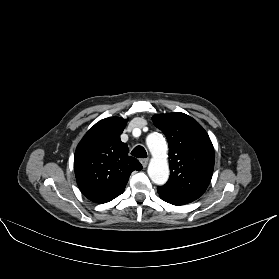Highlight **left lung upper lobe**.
<instances>
[{
  "label": "left lung upper lobe",
  "instance_id": "obj_1",
  "mask_svg": "<svg viewBox=\"0 0 279 279\" xmlns=\"http://www.w3.org/2000/svg\"><path fill=\"white\" fill-rule=\"evenodd\" d=\"M152 120L169 144L170 179L157 187L159 195L181 203L195 201L206 191L214 169V148L208 134L184 113L157 114Z\"/></svg>",
  "mask_w": 279,
  "mask_h": 279
}]
</instances>
